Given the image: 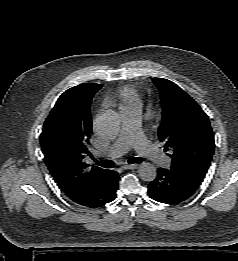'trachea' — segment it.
<instances>
[{"label":"trachea","instance_id":"trachea-1","mask_svg":"<svg viewBox=\"0 0 238 261\" xmlns=\"http://www.w3.org/2000/svg\"><path fill=\"white\" fill-rule=\"evenodd\" d=\"M95 163L98 165V166H101L103 168H112L114 167V162L113 161H110V160H102V161H96L94 160ZM143 162V159L141 157H133L131 159L128 160V163L129 164H134V163H141Z\"/></svg>","mask_w":238,"mask_h":261}]
</instances>
